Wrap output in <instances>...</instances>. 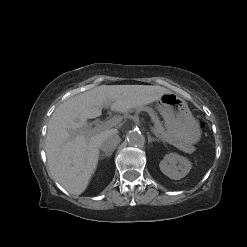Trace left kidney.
<instances>
[{
  "mask_svg": "<svg viewBox=\"0 0 247 247\" xmlns=\"http://www.w3.org/2000/svg\"><path fill=\"white\" fill-rule=\"evenodd\" d=\"M163 174L174 180L185 177L192 168L191 162L176 153L167 154L159 164Z\"/></svg>",
  "mask_w": 247,
  "mask_h": 247,
  "instance_id": "left-kidney-1",
  "label": "left kidney"
}]
</instances>
